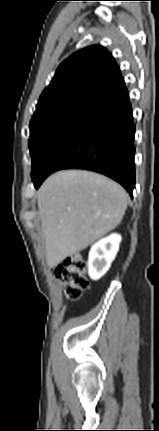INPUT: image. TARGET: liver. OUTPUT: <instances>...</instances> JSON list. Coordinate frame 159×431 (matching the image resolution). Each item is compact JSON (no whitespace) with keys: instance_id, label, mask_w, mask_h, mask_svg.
I'll use <instances>...</instances> for the list:
<instances>
[{"instance_id":"1","label":"liver","mask_w":159,"mask_h":431,"mask_svg":"<svg viewBox=\"0 0 159 431\" xmlns=\"http://www.w3.org/2000/svg\"><path fill=\"white\" fill-rule=\"evenodd\" d=\"M124 188L89 171H59L37 192L46 262L53 268L114 230L127 208Z\"/></svg>"}]
</instances>
